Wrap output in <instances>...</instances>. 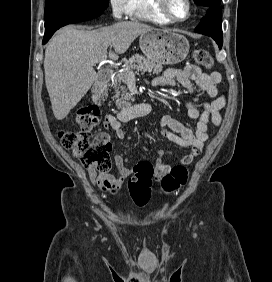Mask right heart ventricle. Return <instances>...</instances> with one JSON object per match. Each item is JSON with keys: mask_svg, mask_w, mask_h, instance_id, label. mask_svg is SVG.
Instances as JSON below:
<instances>
[{"mask_svg": "<svg viewBox=\"0 0 272 282\" xmlns=\"http://www.w3.org/2000/svg\"><path fill=\"white\" fill-rule=\"evenodd\" d=\"M134 12L131 18L146 20L156 24H168L171 20L166 18L156 7V0H132Z\"/></svg>", "mask_w": 272, "mask_h": 282, "instance_id": "e07e8e85", "label": "right heart ventricle"}]
</instances>
